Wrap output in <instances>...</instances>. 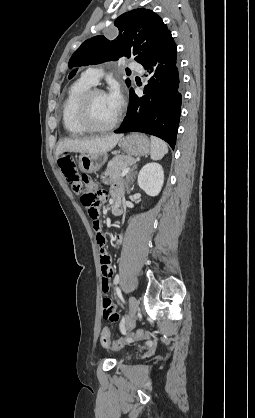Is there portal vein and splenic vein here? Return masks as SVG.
<instances>
[{
    "instance_id": "portal-vein-and-splenic-vein-1",
    "label": "portal vein and splenic vein",
    "mask_w": 255,
    "mask_h": 418,
    "mask_svg": "<svg viewBox=\"0 0 255 418\" xmlns=\"http://www.w3.org/2000/svg\"><path fill=\"white\" fill-rule=\"evenodd\" d=\"M129 171H130V168H129V167H128V168H126V169H124V170L122 171V173H121V176L123 177V176L127 175Z\"/></svg>"
}]
</instances>
